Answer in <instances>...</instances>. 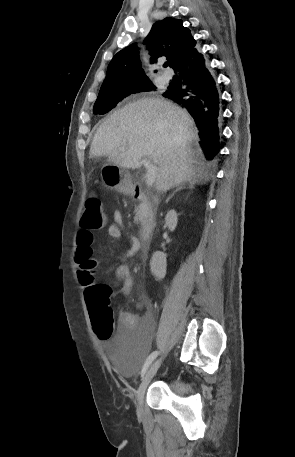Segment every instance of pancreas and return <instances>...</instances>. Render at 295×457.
<instances>
[{"label": "pancreas", "mask_w": 295, "mask_h": 457, "mask_svg": "<svg viewBox=\"0 0 295 457\" xmlns=\"http://www.w3.org/2000/svg\"><path fill=\"white\" fill-rule=\"evenodd\" d=\"M144 212L141 207H137L135 209V217H134V222L138 223L139 221H142L144 219Z\"/></svg>", "instance_id": "cf45deb5"}]
</instances>
